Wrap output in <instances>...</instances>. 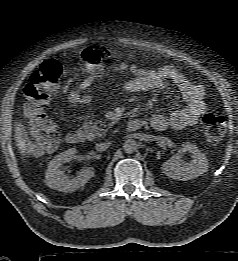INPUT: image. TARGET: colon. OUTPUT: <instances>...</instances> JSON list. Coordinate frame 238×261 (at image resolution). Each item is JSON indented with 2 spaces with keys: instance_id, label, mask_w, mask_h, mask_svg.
I'll use <instances>...</instances> for the list:
<instances>
[{
  "instance_id": "colon-1",
  "label": "colon",
  "mask_w": 238,
  "mask_h": 261,
  "mask_svg": "<svg viewBox=\"0 0 238 261\" xmlns=\"http://www.w3.org/2000/svg\"><path fill=\"white\" fill-rule=\"evenodd\" d=\"M81 59L92 73H99L109 62L110 53L106 48H87L81 54ZM62 65L55 59L45 60L32 74L30 82L24 90L25 115L35 143L31 150H54L59 143L60 131L57 124L47 115L45 108L49 94L55 90L61 76ZM226 118L219 112H206L201 118V128L206 138L212 142H219L226 132Z\"/></svg>"
}]
</instances>
